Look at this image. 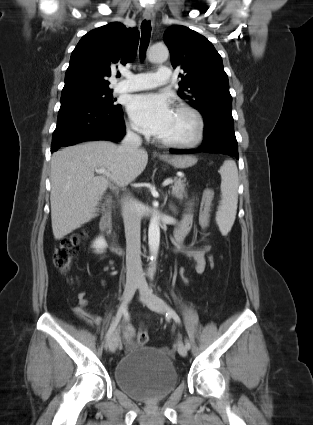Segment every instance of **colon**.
I'll list each match as a JSON object with an SVG mask.
<instances>
[{"instance_id":"5ec220e1","label":"colon","mask_w":313,"mask_h":425,"mask_svg":"<svg viewBox=\"0 0 313 425\" xmlns=\"http://www.w3.org/2000/svg\"><path fill=\"white\" fill-rule=\"evenodd\" d=\"M88 236L87 231L72 234L64 237L60 243L55 247L53 252V262L55 267L61 271L66 272L70 269L76 251L80 243ZM215 265V258L209 256L207 258V266L213 268ZM191 282V276L187 269L181 268L178 271L177 283L180 286H187ZM139 345H146L149 340L148 333L145 329L140 330L136 336Z\"/></svg>"}]
</instances>
